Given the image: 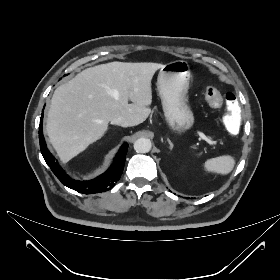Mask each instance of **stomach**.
<instances>
[{"instance_id":"stomach-1","label":"stomach","mask_w":280,"mask_h":280,"mask_svg":"<svg viewBox=\"0 0 280 280\" xmlns=\"http://www.w3.org/2000/svg\"><path fill=\"white\" fill-rule=\"evenodd\" d=\"M188 62L176 60L165 64L158 74L157 89L168 125L184 132L194 124V115L188 105L190 83Z\"/></svg>"}]
</instances>
